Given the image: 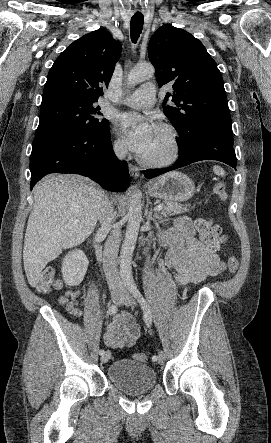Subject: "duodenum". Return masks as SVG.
<instances>
[{
  "label": "duodenum",
  "mask_w": 271,
  "mask_h": 443,
  "mask_svg": "<svg viewBox=\"0 0 271 443\" xmlns=\"http://www.w3.org/2000/svg\"><path fill=\"white\" fill-rule=\"evenodd\" d=\"M96 253L99 260L103 263L106 269L111 267V264L115 255V248L112 243H108L105 246L96 245Z\"/></svg>",
  "instance_id": "410a0bca"
}]
</instances>
